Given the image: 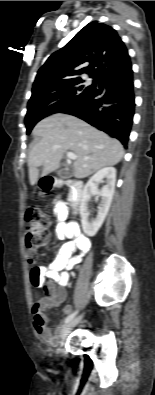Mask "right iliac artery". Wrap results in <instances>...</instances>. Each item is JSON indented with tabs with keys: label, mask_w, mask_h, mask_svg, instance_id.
I'll return each instance as SVG.
<instances>
[{
	"label": "right iliac artery",
	"mask_w": 155,
	"mask_h": 395,
	"mask_svg": "<svg viewBox=\"0 0 155 395\" xmlns=\"http://www.w3.org/2000/svg\"><path fill=\"white\" fill-rule=\"evenodd\" d=\"M76 314H77V311H75V312H73L72 314H70V315L65 319V323L70 322V321L75 317Z\"/></svg>",
	"instance_id": "82829eb1"
}]
</instances>
